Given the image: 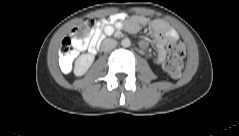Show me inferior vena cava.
Returning a JSON list of instances; mask_svg holds the SVG:
<instances>
[{"label": "inferior vena cava", "instance_id": "602c4592", "mask_svg": "<svg viewBox=\"0 0 239 136\" xmlns=\"http://www.w3.org/2000/svg\"><path fill=\"white\" fill-rule=\"evenodd\" d=\"M117 46V41L112 38H106L101 43V50L108 52L113 50Z\"/></svg>", "mask_w": 239, "mask_h": 136}]
</instances>
